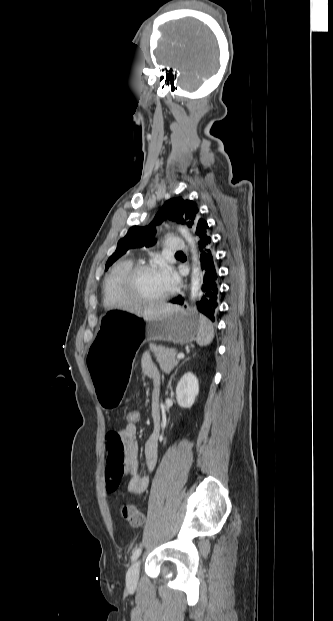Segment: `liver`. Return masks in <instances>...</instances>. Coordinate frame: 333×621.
<instances>
[{
	"label": "liver",
	"mask_w": 333,
	"mask_h": 621,
	"mask_svg": "<svg viewBox=\"0 0 333 621\" xmlns=\"http://www.w3.org/2000/svg\"><path fill=\"white\" fill-rule=\"evenodd\" d=\"M176 307L177 306L169 303L155 304L151 307L144 309L141 312H136L135 315L143 317L145 320H151L171 312Z\"/></svg>",
	"instance_id": "liver-1"
}]
</instances>
